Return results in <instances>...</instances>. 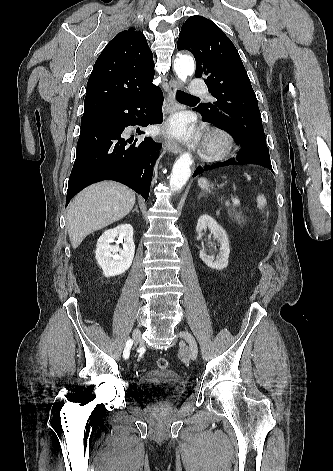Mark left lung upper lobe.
<instances>
[{
  "instance_id": "1",
  "label": "left lung upper lobe",
  "mask_w": 333,
  "mask_h": 471,
  "mask_svg": "<svg viewBox=\"0 0 333 471\" xmlns=\"http://www.w3.org/2000/svg\"><path fill=\"white\" fill-rule=\"evenodd\" d=\"M177 48L194 55L195 76L205 78L209 92L217 99L195 110L231 133L241 146H267L250 79L237 49L223 31L205 17L191 16L182 25Z\"/></svg>"
}]
</instances>
